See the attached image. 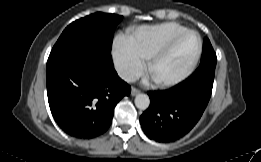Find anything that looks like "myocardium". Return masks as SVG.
<instances>
[{"mask_svg": "<svg viewBox=\"0 0 261 162\" xmlns=\"http://www.w3.org/2000/svg\"><path fill=\"white\" fill-rule=\"evenodd\" d=\"M195 34L198 38V47L197 50L192 58V60L190 61V63L187 65V67L180 72L179 74H177L174 77L171 78H167V79H157L154 78V81L163 87H171V86H175L179 83H181L182 81H184L186 78H188L192 72L194 71L201 53H202V48H203V41L202 38L200 36V34L192 29H185L177 34H175L174 36H172L170 39H168L159 49H157L149 58H148V62H147V72L150 74L151 70L154 66V64L161 59L163 56H165L170 50L171 48L174 46V44L184 35L186 34Z\"/></svg>", "mask_w": 261, "mask_h": 162, "instance_id": "myocardium-1", "label": "myocardium"}]
</instances>
